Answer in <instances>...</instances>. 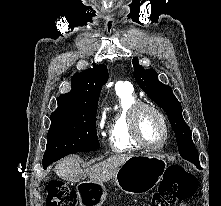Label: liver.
<instances>
[{
  "label": "liver",
  "instance_id": "6515ba94",
  "mask_svg": "<svg viewBox=\"0 0 221 206\" xmlns=\"http://www.w3.org/2000/svg\"><path fill=\"white\" fill-rule=\"evenodd\" d=\"M130 157L131 155L124 154L113 155L83 170L80 167L79 158L70 156L60 161L54 171L60 178L70 182H79L89 177L91 181L103 183L114 178L119 167Z\"/></svg>",
  "mask_w": 221,
  "mask_h": 206
}]
</instances>
